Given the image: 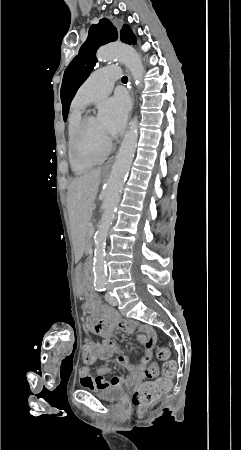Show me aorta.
Segmentation results:
<instances>
[{
    "instance_id": "aorta-1",
    "label": "aorta",
    "mask_w": 241,
    "mask_h": 450,
    "mask_svg": "<svg viewBox=\"0 0 241 450\" xmlns=\"http://www.w3.org/2000/svg\"><path fill=\"white\" fill-rule=\"evenodd\" d=\"M97 58L101 62L118 59L131 72L137 87L141 86L144 69L140 55L136 50L122 43H111L101 47L97 52ZM138 139V121L134 117L129 123L128 131L122 140L119 152L106 183L105 197L103 201V214L95 233L94 250V283L97 287H103L106 283V239L109 229L114 221L116 207L120 201L123 185L130 170Z\"/></svg>"
}]
</instances>
